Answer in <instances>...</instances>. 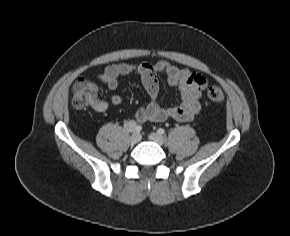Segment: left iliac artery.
<instances>
[{
    "mask_svg": "<svg viewBox=\"0 0 290 236\" xmlns=\"http://www.w3.org/2000/svg\"><path fill=\"white\" fill-rule=\"evenodd\" d=\"M157 132L162 135L165 133V130L163 128H159Z\"/></svg>",
    "mask_w": 290,
    "mask_h": 236,
    "instance_id": "left-iliac-artery-1",
    "label": "left iliac artery"
}]
</instances>
